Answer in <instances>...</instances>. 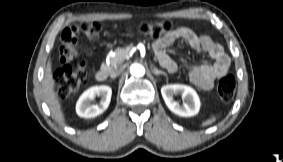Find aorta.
Returning a JSON list of instances; mask_svg holds the SVG:
<instances>
[{
	"label": "aorta",
	"instance_id": "1",
	"mask_svg": "<svg viewBox=\"0 0 283 162\" xmlns=\"http://www.w3.org/2000/svg\"><path fill=\"white\" fill-rule=\"evenodd\" d=\"M130 73L135 77H142L145 74V68L138 63H134L130 67Z\"/></svg>",
	"mask_w": 283,
	"mask_h": 162
}]
</instances>
